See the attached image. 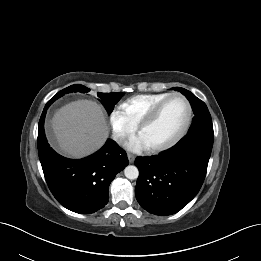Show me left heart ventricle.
I'll use <instances>...</instances> for the list:
<instances>
[{
	"label": "left heart ventricle",
	"mask_w": 261,
	"mask_h": 261,
	"mask_svg": "<svg viewBox=\"0 0 261 261\" xmlns=\"http://www.w3.org/2000/svg\"><path fill=\"white\" fill-rule=\"evenodd\" d=\"M186 107L179 98L168 101L155 121L144 128L139 136L146 146L166 143L174 138L181 130L186 119Z\"/></svg>",
	"instance_id": "obj_1"
}]
</instances>
